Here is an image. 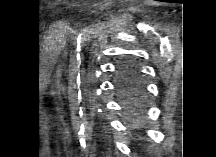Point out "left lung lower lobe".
I'll return each mask as SVG.
<instances>
[{
	"label": "left lung lower lobe",
	"mask_w": 216,
	"mask_h": 157,
	"mask_svg": "<svg viewBox=\"0 0 216 157\" xmlns=\"http://www.w3.org/2000/svg\"><path fill=\"white\" fill-rule=\"evenodd\" d=\"M121 74H122V72H121ZM121 74H120V77H121ZM117 88H118V91L120 92V94L122 95V97L126 100L127 105H128V102L130 100H132V98L134 96L133 89L128 87L125 83L121 82L120 78H119V81L117 83Z\"/></svg>",
	"instance_id": "left-lung-lower-lobe-1"
}]
</instances>
